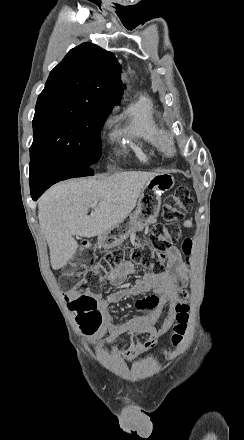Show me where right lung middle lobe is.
Here are the masks:
<instances>
[{
  "label": "right lung middle lobe",
  "mask_w": 244,
  "mask_h": 440,
  "mask_svg": "<svg viewBox=\"0 0 244 440\" xmlns=\"http://www.w3.org/2000/svg\"><path fill=\"white\" fill-rule=\"evenodd\" d=\"M110 111L83 102H37L30 161L57 158L93 166L101 156L100 132Z\"/></svg>",
  "instance_id": "right-lung-middle-lobe-1"
}]
</instances>
